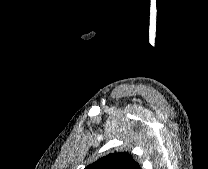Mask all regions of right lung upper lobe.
Listing matches in <instances>:
<instances>
[{
	"instance_id": "cb5924a9",
	"label": "right lung upper lobe",
	"mask_w": 208,
	"mask_h": 169,
	"mask_svg": "<svg viewBox=\"0 0 208 169\" xmlns=\"http://www.w3.org/2000/svg\"><path fill=\"white\" fill-rule=\"evenodd\" d=\"M85 169H141L129 153H110L96 162L88 165Z\"/></svg>"
}]
</instances>
